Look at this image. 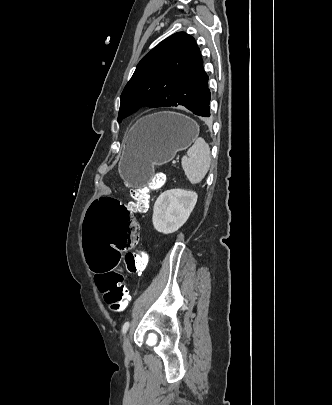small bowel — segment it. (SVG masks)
<instances>
[{"label":"small bowel","mask_w":332,"mask_h":405,"mask_svg":"<svg viewBox=\"0 0 332 405\" xmlns=\"http://www.w3.org/2000/svg\"><path fill=\"white\" fill-rule=\"evenodd\" d=\"M135 220H137L136 218H135ZM137 227H139V223H138V221H137ZM138 243H136V245H137Z\"/></svg>","instance_id":"c3829d8e"}]
</instances>
